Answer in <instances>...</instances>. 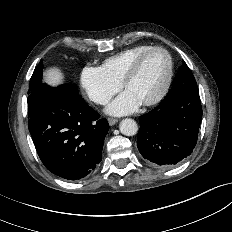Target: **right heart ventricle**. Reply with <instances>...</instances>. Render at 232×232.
<instances>
[{
	"mask_svg": "<svg viewBox=\"0 0 232 232\" xmlns=\"http://www.w3.org/2000/svg\"><path fill=\"white\" fill-rule=\"evenodd\" d=\"M150 45H136L125 49L111 57L106 58L101 68L117 83L121 81L132 61L143 51L149 49Z\"/></svg>",
	"mask_w": 232,
	"mask_h": 232,
	"instance_id": "e07e8e85",
	"label": "right heart ventricle"
}]
</instances>
